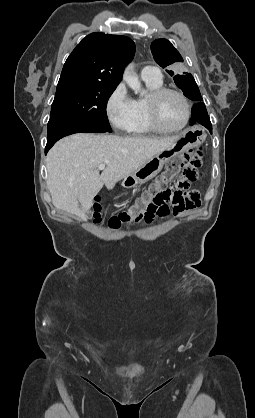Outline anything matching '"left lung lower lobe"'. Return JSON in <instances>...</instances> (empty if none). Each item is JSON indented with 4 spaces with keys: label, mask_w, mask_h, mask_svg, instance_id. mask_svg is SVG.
<instances>
[{
    "label": "left lung lower lobe",
    "mask_w": 255,
    "mask_h": 418,
    "mask_svg": "<svg viewBox=\"0 0 255 418\" xmlns=\"http://www.w3.org/2000/svg\"><path fill=\"white\" fill-rule=\"evenodd\" d=\"M195 123L205 126L212 133V125L204 103L199 102L192 107L190 125Z\"/></svg>",
    "instance_id": "0a47b994"
}]
</instances>
